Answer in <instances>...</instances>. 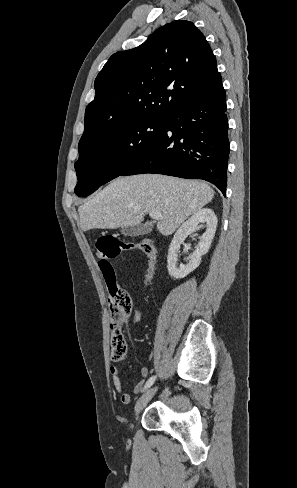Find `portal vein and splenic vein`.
Segmentation results:
<instances>
[{
  "mask_svg": "<svg viewBox=\"0 0 297 488\" xmlns=\"http://www.w3.org/2000/svg\"><path fill=\"white\" fill-rule=\"evenodd\" d=\"M149 216H151L154 219L162 218L161 213H159L157 210H150L149 211Z\"/></svg>",
  "mask_w": 297,
  "mask_h": 488,
  "instance_id": "obj_1",
  "label": "portal vein and splenic vein"
}]
</instances>
